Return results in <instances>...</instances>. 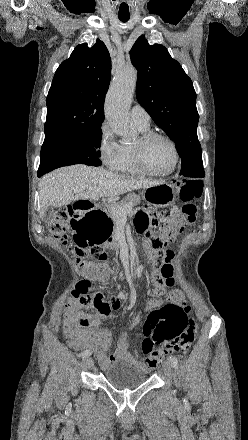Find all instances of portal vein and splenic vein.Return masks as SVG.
I'll use <instances>...</instances> for the list:
<instances>
[{
    "label": "portal vein and splenic vein",
    "instance_id": "obj_1",
    "mask_svg": "<svg viewBox=\"0 0 248 440\" xmlns=\"http://www.w3.org/2000/svg\"><path fill=\"white\" fill-rule=\"evenodd\" d=\"M83 189H84V188H83ZM80 190H82V189H80ZM80 190H76L75 192H78V191H80ZM111 210H112V213H113L114 215H116V216L118 217L119 220L126 221V219H127V214L131 212V207H130V206H127V207L124 208V209H118V208L113 207Z\"/></svg>",
    "mask_w": 248,
    "mask_h": 440
}]
</instances>
